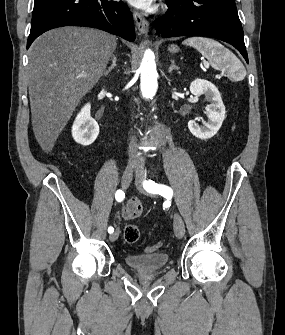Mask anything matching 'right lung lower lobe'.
Listing matches in <instances>:
<instances>
[{
    "instance_id": "98d812e1",
    "label": "right lung lower lobe",
    "mask_w": 285,
    "mask_h": 335,
    "mask_svg": "<svg viewBox=\"0 0 285 335\" xmlns=\"http://www.w3.org/2000/svg\"><path fill=\"white\" fill-rule=\"evenodd\" d=\"M94 27L135 40L133 17L123 2L107 0H35L27 48L42 33L57 27Z\"/></svg>"
}]
</instances>
